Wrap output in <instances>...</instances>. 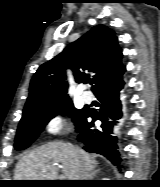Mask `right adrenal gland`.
Returning a JSON list of instances; mask_svg holds the SVG:
<instances>
[{"label":"right adrenal gland","instance_id":"1","mask_svg":"<svg viewBox=\"0 0 160 187\" xmlns=\"http://www.w3.org/2000/svg\"><path fill=\"white\" fill-rule=\"evenodd\" d=\"M100 172V169H93L90 171L89 173V179L93 180L94 177L96 176V174H98Z\"/></svg>","mask_w":160,"mask_h":187}]
</instances>
